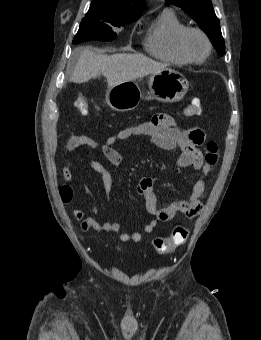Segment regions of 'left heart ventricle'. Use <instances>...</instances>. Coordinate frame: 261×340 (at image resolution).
Masks as SVG:
<instances>
[{"mask_svg": "<svg viewBox=\"0 0 261 340\" xmlns=\"http://www.w3.org/2000/svg\"><path fill=\"white\" fill-rule=\"evenodd\" d=\"M185 49L194 59H201L207 52V44L198 33H190L185 39Z\"/></svg>", "mask_w": 261, "mask_h": 340, "instance_id": "b2bd125f", "label": "left heart ventricle"}]
</instances>
